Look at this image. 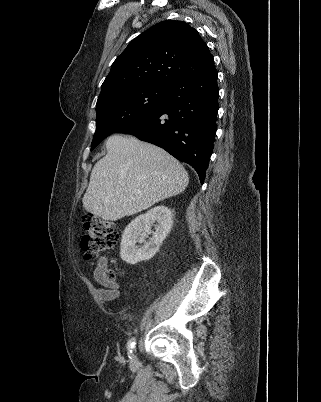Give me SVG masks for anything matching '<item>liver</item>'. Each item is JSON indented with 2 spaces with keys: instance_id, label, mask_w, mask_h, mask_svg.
I'll use <instances>...</instances> for the list:
<instances>
[{
  "instance_id": "1",
  "label": "liver",
  "mask_w": 321,
  "mask_h": 402,
  "mask_svg": "<svg viewBox=\"0 0 321 402\" xmlns=\"http://www.w3.org/2000/svg\"><path fill=\"white\" fill-rule=\"evenodd\" d=\"M107 154L93 167L83 207L94 216L116 221L182 193L188 173L162 148L130 135L106 141Z\"/></svg>"
}]
</instances>
